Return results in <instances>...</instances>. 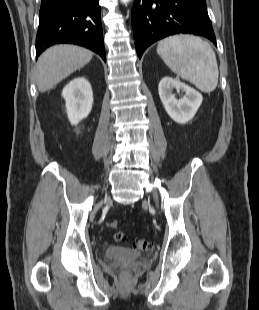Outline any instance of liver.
<instances>
[{"instance_id":"obj_1","label":"liver","mask_w":259,"mask_h":310,"mask_svg":"<svg viewBox=\"0 0 259 310\" xmlns=\"http://www.w3.org/2000/svg\"><path fill=\"white\" fill-rule=\"evenodd\" d=\"M93 57V53L75 45H56L39 57L35 79L40 92L53 88L74 71L82 68Z\"/></svg>"}]
</instances>
